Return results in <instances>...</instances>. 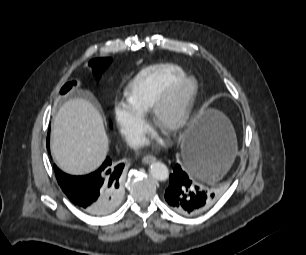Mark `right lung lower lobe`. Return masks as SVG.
<instances>
[{"label":"right lung lower lobe","mask_w":306,"mask_h":255,"mask_svg":"<svg viewBox=\"0 0 306 255\" xmlns=\"http://www.w3.org/2000/svg\"><path fill=\"white\" fill-rule=\"evenodd\" d=\"M49 148V144H48ZM57 181L70 201L92 215H105L114 210L122 194V164L107 157L102 166L85 176H71L54 166Z\"/></svg>","instance_id":"obj_1"}]
</instances>
